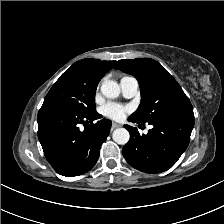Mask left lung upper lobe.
I'll list each match as a JSON object with an SVG mask.
<instances>
[{
	"label": "left lung upper lobe",
	"mask_w": 224,
	"mask_h": 224,
	"mask_svg": "<svg viewBox=\"0 0 224 224\" xmlns=\"http://www.w3.org/2000/svg\"><path fill=\"white\" fill-rule=\"evenodd\" d=\"M139 82L141 104L130 117L140 123L193 114V107L174 77L150 58L119 60L115 67Z\"/></svg>",
	"instance_id": "left-lung-upper-lobe-1"
}]
</instances>
